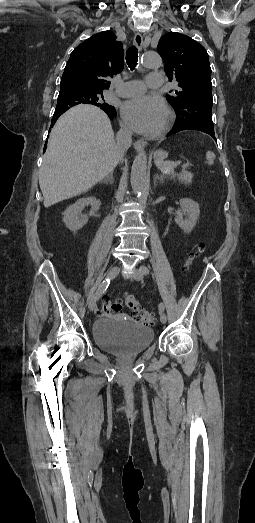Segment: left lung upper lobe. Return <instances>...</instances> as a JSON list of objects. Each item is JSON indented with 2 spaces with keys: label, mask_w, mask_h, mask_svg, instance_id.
<instances>
[{
  "label": "left lung upper lobe",
  "mask_w": 255,
  "mask_h": 523,
  "mask_svg": "<svg viewBox=\"0 0 255 523\" xmlns=\"http://www.w3.org/2000/svg\"><path fill=\"white\" fill-rule=\"evenodd\" d=\"M158 53L169 80L179 83V90L172 96L166 95L177 114L173 128L176 125L203 127L207 134L215 137L211 67L205 48L186 35L170 32L161 37Z\"/></svg>",
  "instance_id": "1"
}]
</instances>
